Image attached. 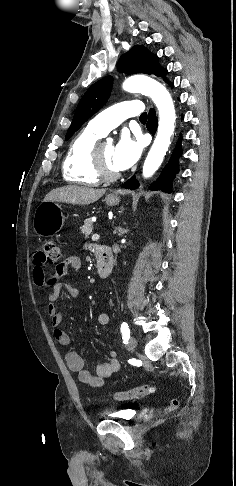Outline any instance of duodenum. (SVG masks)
I'll list each match as a JSON object with an SVG mask.
<instances>
[{
  "label": "duodenum",
  "instance_id": "1",
  "mask_svg": "<svg viewBox=\"0 0 236 486\" xmlns=\"http://www.w3.org/2000/svg\"><path fill=\"white\" fill-rule=\"evenodd\" d=\"M97 258V271L101 278L108 277L113 269V254L111 248L106 245H97L95 247Z\"/></svg>",
  "mask_w": 236,
  "mask_h": 486
}]
</instances>
